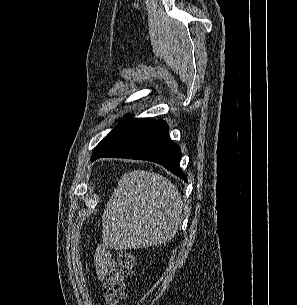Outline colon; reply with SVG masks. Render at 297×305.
<instances>
[{
	"label": "colon",
	"mask_w": 297,
	"mask_h": 305,
	"mask_svg": "<svg viewBox=\"0 0 297 305\" xmlns=\"http://www.w3.org/2000/svg\"><path fill=\"white\" fill-rule=\"evenodd\" d=\"M136 257L130 250L117 253L110 267L108 277L103 284V297L106 305H120L126 294V281L132 275Z\"/></svg>",
	"instance_id": "1"
}]
</instances>
